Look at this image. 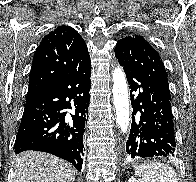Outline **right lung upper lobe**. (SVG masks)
<instances>
[{"instance_id": "1", "label": "right lung upper lobe", "mask_w": 196, "mask_h": 182, "mask_svg": "<svg viewBox=\"0 0 196 182\" xmlns=\"http://www.w3.org/2000/svg\"><path fill=\"white\" fill-rule=\"evenodd\" d=\"M87 59L86 43L75 29L59 26L49 32L34 54L26 103Z\"/></svg>"}]
</instances>
